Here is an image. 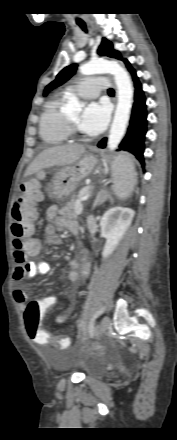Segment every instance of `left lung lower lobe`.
Segmentation results:
<instances>
[{"label":"left lung lower lobe","mask_w":177,"mask_h":440,"mask_svg":"<svg viewBox=\"0 0 177 440\" xmlns=\"http://www.w3.org/2000/svg\"><path fill=\"white\" fill-rule=\"evenodd\" d=\"M128 70L132 75L135 87L134 104L127 134L120 143L117 151L124 150L130 152L135 155L142 166H144V138L147 132L146 98L142 90V85L136 75V71L132 67L128 68ZM105 146L106 138L98 142V147L105 148Z\"/></svg>","instance_id":"left-lung-lower-lobe-1"}]
</instances>
